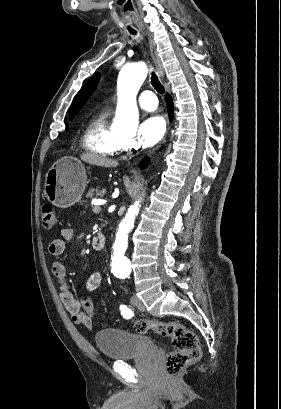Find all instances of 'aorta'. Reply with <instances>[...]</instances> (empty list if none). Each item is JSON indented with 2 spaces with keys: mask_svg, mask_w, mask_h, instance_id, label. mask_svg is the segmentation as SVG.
I'll list each match as a JSON object with an SVG mask.
<instances>
[{
  "mask_svg": "<svg viewBox=\"0 0 281 409\" xmlns=\"http://www.w3.org/2000/svg\"><path fill=\"white\" fill-rule=\"evenodd\" d=\"M147 66L144 62L126 64L118 77V102L113 122V129L119 133L134 132L139 123L136 95L147 77ZM139 202L128 209L119 226L121 232H128L134 226L135 216L139 211Z\"/></svg>",
  "mask_w": 281,
  "mask_h": 409,
  "instance_id": "aorta-1",
  "label": "aorta"
}]
</instances>
